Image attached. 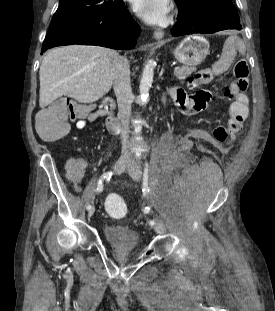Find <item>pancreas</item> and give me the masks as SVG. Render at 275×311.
Segmentation results:
<instances>
[{"mask_svg":"<svg viewBox=\"0 0 275 311\" xmlns=\"http://www.w3.org/2000/svg\"><path fill=\"white\" fill-rule=\"evenodd\" d=\"M193 71H195V68L193 67H182L181 69H179L177 73H174V75L178 79H182L186 77L187 75H190Z\"/></svg>","mask_w":275,"mask_h":311,"instance_id":"obj_1","label":"pancreas"}]
</instances>
